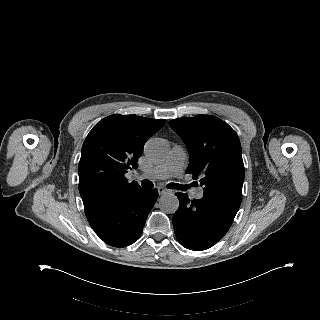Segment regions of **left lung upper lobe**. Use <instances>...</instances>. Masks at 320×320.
<instances>
[{
  "instance_id": "left-lung-upper-lobe-1",
  "label": "left lung upper lobe",
  "mask_w": 320,
  "mask_h": 320,
  "mask_svg": "<svg viewBox=\"0 0 320 320\" xmlns=\"http://www.w3.org/2000/svg\"><path fill=\"white\" fill-rule=\"evenodd\" d=\"M189 152L191 173L211 197L238 210L242 200L244 164L236 132L212 115H196L169 122Z\"/></svg>"
}]
</instances>
